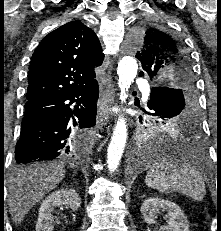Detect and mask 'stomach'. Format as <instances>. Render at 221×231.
<instances>
[{
	"label": "stomach",
	"instance_id": "obj_1",
	"mask_svg": "<svg viewBox=\"0 0 221 231\" xmlns=\"http://www.w3.org/2000/svg\"><path fill=\"white\" fill-rule=\"evenodd\" d=\"M169 128H171V129H173V130H176L178 127H177V126L172 127V126L170 125V126L167 127V129H169ZM168 132H169V131H168ZM168 132H165V133H168Z\"/></svg>",
	"mask_w": 221,
	"mask_h": 231
}]
</instances>
